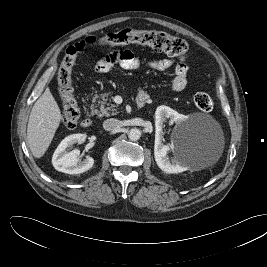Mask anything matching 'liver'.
Segmentation results:
<instances>
[{"mask_svg": "<svg viewBox=\"0 0 267 267\" xmlns=\"http://www.w3.org/2000/svg\"><path fill=\"white\" fill-rule=\"evenodd\" d=\"M62 119L60 108L49 88L35 102L28 121L27 140L32 155L41 158L47 151Z\"/></svg>", "mask_w": 267, "mask_h": 267, "instance_id": "1", "label": "liver"}]
</instances>
